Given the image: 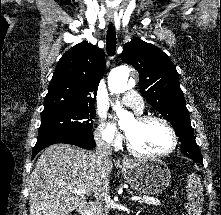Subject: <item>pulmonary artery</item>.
Masks as SVG:
<instances>
[{
    "mask_svg": "<svg viewBox=\"0 0 221 215\" xmlns=\"http://www.w3.org/2000/svg\"><path fill=\"white\" fill-rule=\"evenodd\" d=\"M122 103L133 109L136 113H141L144 108L142 97L134 90H128L125 92Z\"/></svg>",
    "mask_w": 221,
    "mask_h": 215,
    "instance_id": "1",
    "label": "pulmonary artery"
}]
</instances>
